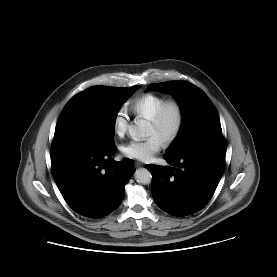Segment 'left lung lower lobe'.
Returning <instances> with one entry per match:
<instances>
[{
    "label": "left lung lower lobe",
    "instance_id": "1",
    "mask_svg": "<svg viewBox=\"0 0 277 277\" xmlns=\"http://www.w3.org/2000/svg\"><path fill=\"white\" fill-rule=\"evenodd\" d=\"M223 136L203 139L176 158L166 157L169 166L146 165L152 174L155 203L173 216H186L202 209L212 198L225 169Z\"/></svg>",
    "mask_w": 277,
    "mask_h": 277
}]
</instances>
